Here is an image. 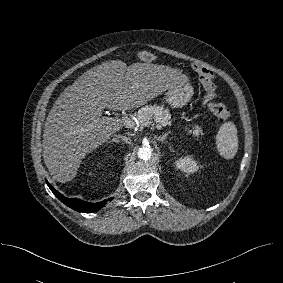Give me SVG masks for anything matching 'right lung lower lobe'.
<instances>
[{
    "label": "right lung lower lobe",
    "instance_id": "obj_1",
    "mask_svg": "<svg viewBox=\"0 0 283 283\" xmlns=\"http://www.w3.org/2000/svg\"><path fill=\"white\" fill-rule=\"evenodd\" d=\"M47 182V181H46ZM47 185L49 186L50 190L53 192V194L65 205L68 207L83 213H93L98 210H100L107 201L104 200L102 202L97 203H89L85 202L83 200L77 199V198H67L64 197L61 193H59L56 189H54L48 182ZM113 198H110L109 200H112Z\"/></svg>",
    "mask_w": 283,
    "mask_h": 283
}]
</instances>
